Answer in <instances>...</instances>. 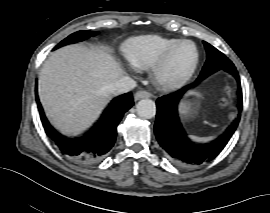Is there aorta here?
Wrapping results in <instances>:
<instances>
[{"instance_id": "obj_1", "label": "aorta", "mask_w": 270, "mask_h": 213, "mask_svg": "<svg viewBox=\"0 0 270 213\" xmlns=\"http://www.w3.org/2000/svg\"><path fill=\"white\" fill-rule=\"evenodd\" d=\"M136 110L140 117L150 119L156 114V105L150 99H142L137 103Z\"/></svg>"}]
</instances>
